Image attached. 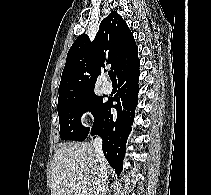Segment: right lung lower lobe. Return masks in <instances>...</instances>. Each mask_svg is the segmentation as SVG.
Segmentation results:
<instances>
[{
  "label": "right lung lower lobe",
  "instance_id": "98d812e1",
  "mask_svg": "<svg viewBox=\"0 0 211 195\" xmlns=\"http://www.w3.org/2000/svg\"><path fill=\"white\" fill-rule=\"evenodd\" d=\"M139 64L117 77L118 93L113 100H108L105 103L91 131V135L97 134L102 138L104 156L117 174L122 171L123 158L126 152L125 145L138 103ZM113 101H116L117 104L113 105ZM113 107L117 110L115 115L111 114Z\"/></svg>",
  "mask_w": 211,
  "mask_h": 195
}]
</instances>
